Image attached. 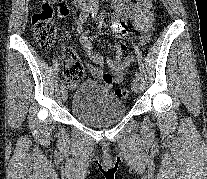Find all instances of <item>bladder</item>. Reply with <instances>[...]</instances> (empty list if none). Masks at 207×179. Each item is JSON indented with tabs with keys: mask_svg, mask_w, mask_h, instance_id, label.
Masks as SVG:
<instances>
[{
	"mask_svg": "<svg viewBox=\"0 0 207 179\" xmlns=\"http://www.w3.org/2000/svg\"><path fill=\"white\" fill-rule=\"evenodd\" d=\"M71 110L84 124L103 127L121 120L126 104L115 92L86 80L74 92Z\"/></svg>",
	"mask_w": 207,
	"mask_h": 179,
	"instance_id": "1",
	"label": "bladder"
}]
</instances>
